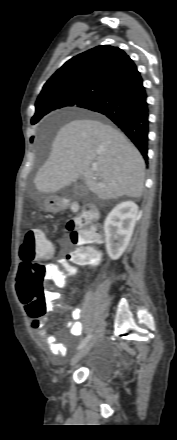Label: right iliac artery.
Here are the masks:
<instances>
[{
	"label": "right iliac artery",
	"mask_w": 177,
	"mask_h": 440,
	"mask_svg": "<svg viewBox=\"0 0 177 440\" xmlns=\"http://www.w3.org/2000/svg\"><path fill=\"white\" fill-rule=\"evenodd\" d=\"M91 337H92V335L90 334V335H88L87 337H85L82 341H81V343L79 344V346H78V350L79 349H82L87 343H88V341L91 339Z\"/></svg>",
	"instance_id": "right-iliac-artery-1"
}]
</instances>
